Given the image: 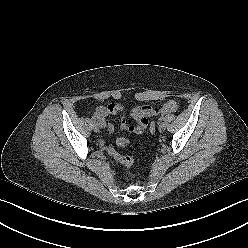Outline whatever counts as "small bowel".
<instances>
[{"instance_id":"1","label":"small bowel","mask_w":248,"mask_h":248,"mask_svg":"<svg viewBox=\"0 0 248 248\" xmlns=\"http://www.w3.org/2000/svg\"><path fill=\"white\" fill-rule=\"evenodd\" d=\"M177 109L175 101H169L165 103L161 108L152 106H141L134 108L131 111L132 118L135 119L136 124H127L124 115H121V127L122 129L135 134H142L149 124V118L151 116L174 112ZM117 112H123V107L118 104H109L107 106H99L95 111V118L98 121L100 127H106L109 132L114 131V125L112 123H106V118ZM100 145L103 146L104 141L101 139Z\"/></svg>"}]
</instances>
